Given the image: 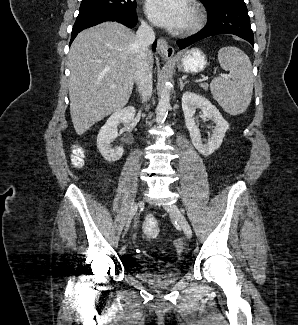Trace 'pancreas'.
I'll list each match as a JSON object with an SVG mask.
<instances>
[{
  "mask_svg": "<svg viewBox=\"0 0 298 325\" xmlns=\"http://www.w3.org/2000/svg\"><path fill=\"white\" fill-rule=\"evenodd\" d=\"M200 86H202V88H204V90H208V88H209L208 82H201Z\"/></svg>",
  "mask_w": 298,
  "mask_h": 325,
  "instance_id": "1",
  "label": "pancreas"
}]
</instances>
